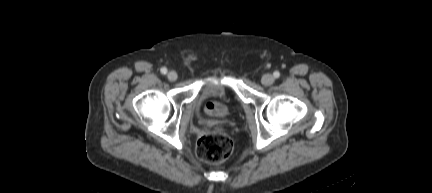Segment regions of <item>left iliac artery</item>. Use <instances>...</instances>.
<instances>
[{"label":"left iliac artery","mask_w":432,"mask_h":193,"mask_svg":"<svg viewBox=\"0 0 432 193\" xmlns=\"http://www.w3.org/2000/svg\"><path fill=\"white\" fill-rule=\"evenodd\" d=\"M273 75H274L275 78H279L280 77V73L278 71H275L273 73Z\"/></svg>","instance_id":"44dca946"}]
</instances>
